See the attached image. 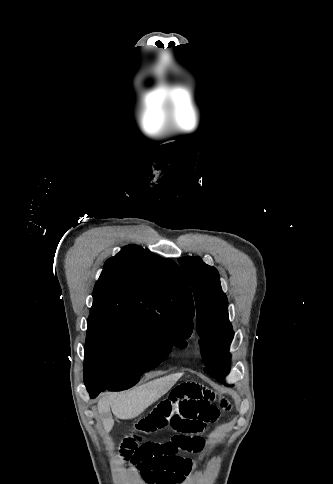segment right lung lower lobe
<instances>
[{"instance_id":"right-lung-lower-lobe-1","label":"right lung lower lobe","mask_w":333,"mask_h":484,"mask_svg":"<svg viewBox=\"0 0 333 484\" xmlns=\"http://www.w3.org/2000/svg\"><path fill=\"white\" fill-rule=\"evenodd\" d=\"M87 390L91 396V398H94L98 395V393L101 391V388L100 387H88L87 386Z\"/></svg>"}]
</instances>
